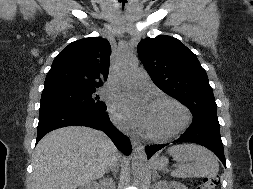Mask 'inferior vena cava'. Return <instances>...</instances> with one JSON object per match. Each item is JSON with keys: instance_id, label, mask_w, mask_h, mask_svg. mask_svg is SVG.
Returning <instances> with one entry per match:
<instances>
[{"instance_id": "1", "label": "inferior vena cava", "mask_w": 253, "mask_h": 189, "mask_svg": "<svg viewBox=\"0 0 253 189\" xmlns=\"http://www.w3.org/2000/svg\"><path fill=\"white\" fill-rule=\"evenodd\" d=\"M114 156L117 158V160H116V165H122V164H124L125 163V158H124V156H123V151L121 150V149H116L115 151H114Z\"/></svg>"}]
</instances>
